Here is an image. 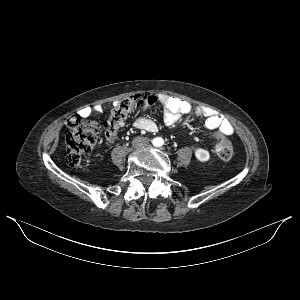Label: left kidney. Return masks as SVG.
<instances>
[{
    "label": "left kidney",
    "instance_id": "5707ae66",
    "mask_svg": "<svg viewBox=\"0 0 300 300\" xmlns=\"http://www.w3.org/2000/svg\"><path fill=\"white\" fill-rule=\"evenodd\" d=\"M195 156L201 162H207L210 159L209 151L202 148L195 150Z\"/></svg>",
    "mask_w": 300,
    "mask_h": 300
}]
</instances>
